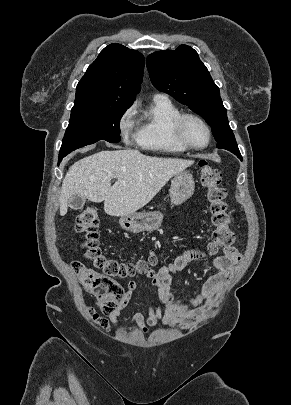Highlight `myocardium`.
Masks as SVG:
<instances>
[{
	"mask_svg": "<svg viewBox=\"0 0 291 405\" xmlns=\"http://www.w3.org/2000/svg\"><path fill=\"white\" fill-rule=\"evenodd\" d=\"M188 120H195L200 123L207 132V142L203 146H195L189 142L185 135V125ZM173 135L176 141L189 150H203L207 148L212 139V131L209 124L201 116L195 113H181L173 123Z\"/></svg>",
	"mask_w": 291,
	"mask_h": 405,
	"instance_id": "obj_1",
	"label": "myocardium"
}]
</instances>
